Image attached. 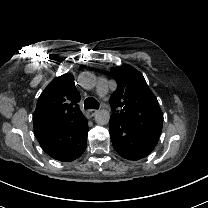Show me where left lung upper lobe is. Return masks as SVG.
<instances>
[{"label": "left lung upper lobe", "instance_id": "1", "mask_svg": "<svg viewBox=\"0 0 208 208\" xmlns=\"http://www.w3.org/2000/svg\"><path fill=\"white\" fill-rule=\"evenodd\" d=\"M111 73L117 82L110 98L113 114L157 145L163 114L143 75L127 64L112 68Z\"/></svg>", "mask_w": 208, "mask_h": 208}]
</instances>
